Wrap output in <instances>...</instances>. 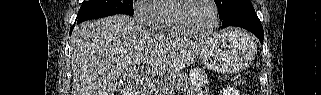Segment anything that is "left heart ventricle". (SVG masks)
I'll use <instances>...</instances> for the list:
<instances>
[{"mask_svg":"<svg viewBox=\"0 0 321 95\" xmlns=\"http://www.w3.org/2000/svg\"><path fill=\"white\" fill-rule=\"evenodd\" d=\"M179 16L187 26L205 31L213 23V8L207 0H192L182 6Z\"/></svg>","mask_w":321,"mask_h":95,"instance_id":"obj_1","label":"left heart ventricle"}]
</instances>
